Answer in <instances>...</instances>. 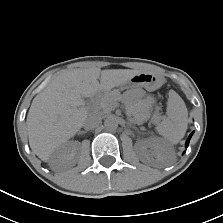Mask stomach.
Wrapping results in <instances>:
<instances>
[{
	"label": "stomach",
	"mask_w": 223,
	"mask_h": 223,
	"mask_svg": "<svg viewBox=\"0 0 223 223\" xmlns=\"http://www.w3.org/2000/svg\"><path fill=\"white\" fill-rule=\"evenodd\" d=\"M162 84V77L150 72H140L134 75L127 83L121 85L120 89L133 90L138 88H144L147 91H154L160 88Z\"/></svg>",
	"instance_id": "stomach-1"
}]
</instances>
